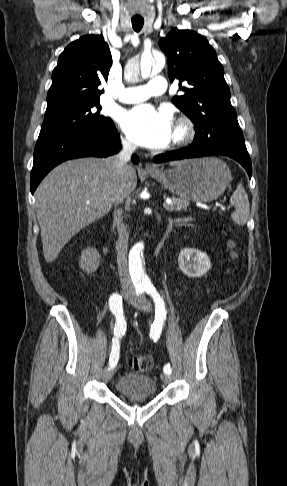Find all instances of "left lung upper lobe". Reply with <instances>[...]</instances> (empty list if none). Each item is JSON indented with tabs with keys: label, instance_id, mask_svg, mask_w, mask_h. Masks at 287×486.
Masks as SVG:
<instances>
[{
	"label": "left lung upper lobe",
	"instance_id": "1",
	"mask_svg": "<svg viewBox=\"0 0 287 486\" xmlns=\"http://www.w3.org/2000/svg\"><path fill=\"white\" fill-rule=\"evenodd\" d=\"M159 46L167 56L170 81L179 79V90L184 92L172 102L194 123L193 144L247 150L224 69L207 39L191 30L173 28ZM183 81L188 87L181 86Z\"/></svg>",
	"mask_w": 287,
	"mask_h": 486
}]
</instances>
